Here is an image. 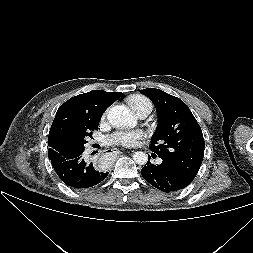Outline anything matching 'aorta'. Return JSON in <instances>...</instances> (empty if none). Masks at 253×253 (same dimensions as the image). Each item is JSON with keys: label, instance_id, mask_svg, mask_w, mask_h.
<instances>
[{"label": "aorta", "instance_id": "762f6f07", "mask_svg": "<svg viewBox=\"0 0 253 253\" xmlns=\"http://www.w3.org/2000/svg\"><path fill=\"white\" fill-rule=\"evenodd\" d=\"M107 119L109 123L116 128L132 127L136 124V118L131 114L129 109L123 105L112 107L107 114ZM133 160L138 165H144L148 157L146 153L137 151L133 155Z\"/></svg>", "mask_w": 253, "mask_h": 253}]
</instances>
